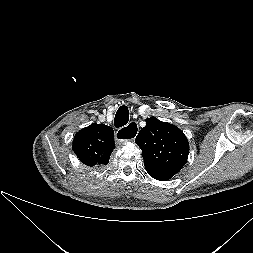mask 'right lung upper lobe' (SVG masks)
<instances>
[{"instance_id":"obj_1","label":"right lung upper lobe","mask_w":253,"mask_h":253,"mask_svg":"<svg viewBox=\"0 0 253 253\" xmlns=\"http://www.w3.org/2000/svg\"><path fill=\"white\" fill-rule=\"evenodd\" d=\"M113 149L114 131L104 124L93 123L81 129L73 140V151L83 164L90 167L107 165Z\"/></svg>"}]
</instances>
